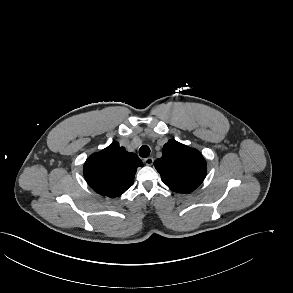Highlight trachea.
<instances>
[{
	"instance_id": "obj_1",
	"label": "trachea",
	"mask_w": 293,
	"mask_h": 293,
	"mask_svg": "<svg viewBox=\"0 0 293 293\" xmlns=\"http://www.w3.org/2000/svg\"><path fill=\"white\" fill-rule=\"evenodd\" d=\"M149 154H150V148L147 145H143V146L140 147V149H139V155L142 158L148 157Z\"/></svg>"
}]
</instances>
